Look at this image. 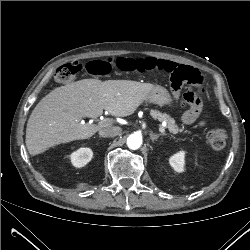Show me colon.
<instances>
[{"mask_svg":"<svg viewBox=\"0 0 250 250\" xmlns=\"http://www.w3.org/2000/svg\"><path fill=\"white\" fill-rule=\"evenodd\" d=\"M113 67L122 71H137L138 60L132 58H115L90 61L86 65V70L91 75H106ZM82 69V65L77 62H69L60 66L55 72V80L60 84L71 82ZM171 85L179 88L186 85L183 93L185 102L192 106H198L204 95V85L200 72L190 66H179L171 73ZM206 138L215 151L223 150L228 142V133L222 127L210 128L206 133Z\"/></svg>","mask_w":250,"mask_h":250,"instance_id":"obj_1","label":"colon"}]
</instances>
